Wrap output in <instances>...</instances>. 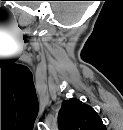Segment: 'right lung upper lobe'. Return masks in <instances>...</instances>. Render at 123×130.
<instances>
[{
    "label": "right lung upper lobe",
    "instance_id": "cb5924a9",
    "mask_svg": "<svg viewBox=\"0 0 123 130\" xmlns=\"http://www.w3.org/2000/svg\"><path fill=\"white\" fill-rule=\"evenodd\" d=\"M58 123L60 129L65 130H100L104 128L97 112L78 99H69L62 103Z\"/></svg>",
    "mask_w": 123,
    "mask_h": 130
}]
</instances>
